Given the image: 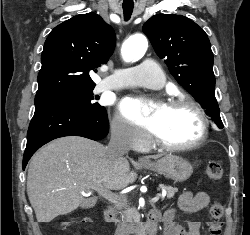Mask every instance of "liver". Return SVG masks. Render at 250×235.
Returning <instances> with one entry per match:
<instances>
[{
  "instance_id": "obj_1",
  "label": "liver",
  "mask_w": 250,
  "mask_h": 235,
  "mask_svg": "<svg viewBox=\"0 0 250 235\" xmlns=\"http://www.w3.org/2000/svg\"><path fill=\"white\" fill-rule=\"evenodd\" d=\"M104 154L105 147L98 142L67 136L32 157L27 194L38 222H50L80 205H93L95 201L84 198L83 192L120 190L136 180L137 174L126 159L109 163Z\"/></svg>"
}]
</instances>
